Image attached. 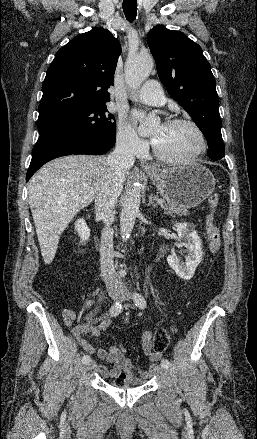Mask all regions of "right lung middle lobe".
I'll list each match as a JSON object with an SVG mask.
<instances>
[{
  "label": "right lung middle lobe",
  "mask_w": 257,
  "mask_h": 439,
  "mask_svg": "<svg viewBox=\"0 0 257 439\" xmlns=\"http://www.w3.org/2000/svg\"><path fill=\"white\" fill-rule=\"evenodd\" d=\"M77 129L115 139L116 122L106 104L75 109L38 120L39 134L61 129Z\"/></svg>",
  "instance_id": "dd1d6c3e"
}]
</instances>
